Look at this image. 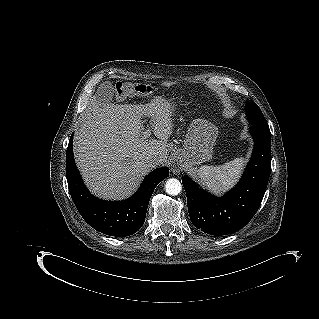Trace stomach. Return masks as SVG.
Segmentation results:
<instances>
[{
  "mask_svg": "<svg viewBox=\"0 0 319 319\" xmlns=\"http://www.w3.org/2000/svg\"><path fill=\"white\" fill-rule=\"evenodd\" d=\"M218 136L215 125L205 119H195L190 124L184 145L179 152L178 164L192 168L212 158L213 147Z\"/></svg>",
  "mask_w": 319,
  "mask_h": 319,
  "instance_id": "stomach-1",
  "label": "stomach"
}]
</instances>
